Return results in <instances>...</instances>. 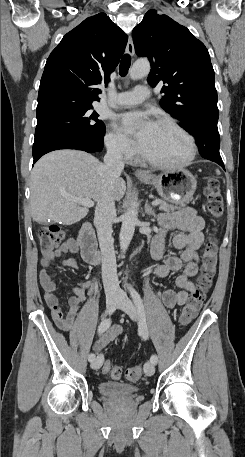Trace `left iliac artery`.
<instances>
[{
    "label": "left iliac artery",
    "mask_w": 245,
    "mask_h": 457,
    "mask_svg": "<svg viewBox=\"0 0 245 457\" xmlns=\"http://www.w3.org/2000/svg\"><path fill=\"white\" fill-rule=\"evenodd\" d=\"M127 288L130 292V295L133 299V302H134V304L137 308L138 314H139V318H140L139 333L144 339H148L149 335H148V328H147V323H146V312H145V307H144L143 301L133 286H128ZM150 361L153 364H156L158 361L157 355L153 354L150 357Z\"/></svg>",
    "instance_id": "obj_1"
}]
</instances>
